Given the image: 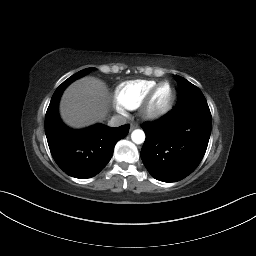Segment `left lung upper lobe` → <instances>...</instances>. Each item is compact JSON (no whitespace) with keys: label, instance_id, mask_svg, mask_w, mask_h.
I'll return each instance as SVG.
<instances>
[{"label":"left lung upper lobe","instance_id":"5c2ea615","mask_svg":"<svg viewBox=\"0 0 256 256\" xmlns=\"http://www.w3.org/2000/svg\"><path fill=\"white\" fill-rule=\"evenodd\" d=\"M176 80L178 82V100L175 107L196 102L207 103L198 87L178 75H176Z\"/></svg>","mask_w":256,"mask_h":256}]
</instances>
